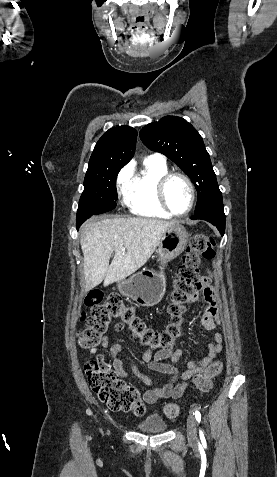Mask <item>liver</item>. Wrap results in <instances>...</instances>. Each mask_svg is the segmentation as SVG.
<instances>
[{
  "label": "liver",
  "instance_id": "6515ba94",
  "mask_svg": "<svg viewBox=\"0 0 277 477\" xmlns=\"http://www.w3.org/2000/svg\"><path fill=\"white\" fill-rule=\"evenodd\" d=\"M174 221L152 218L89 220L81 227L85 292L125 279L141 268L157 248ZM124 248L126 251H122ZM114 258L109 264L111 254Z\"/></svg>",
  "mask_w": 277,
  "mask_h": 477
}]
</instances>
